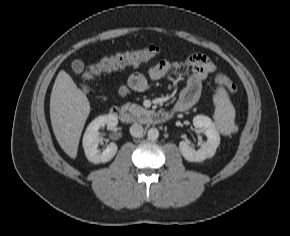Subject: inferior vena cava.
Returning <instances> with one entry per match:
<instances>
[{
    "instance_id": "obj_1",
    "label": "inferior vena cava",
    "mask_w": 290,
    "mask_h": 236,
    "mask_svg": "<svg viewBox=\"0 0 290 236\" xmlns=\"http://www.w3.org/2000/svg\"><path fill=\"white\" fill-rule=\"evenodd\" d=\"M143 127L142 125L140 124H133L131 127H130V134L133 136V137H141L143 135Z\"/></svg>"
}]
</instances>
